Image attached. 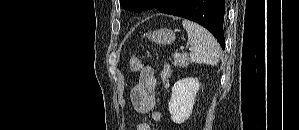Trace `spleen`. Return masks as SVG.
Returning <instances> with one entry per match:
<instances>
[{"instance_id": "3e777b00", "label": "spleen", "mask_w": 299, "mask_h": 130, "mask_svg": "<svg viewBox=\"0 0 299 130\" xmlns=\"http://www.w3.org/2000/svg\"><path fill=\"white\" fill-rule=\"evenodd\" d=\"M182 25L191 45V60L198 64L216 66L220 58V46L215 38L205 28L190 20H183Z\"/></svg>"}]
</instances>
